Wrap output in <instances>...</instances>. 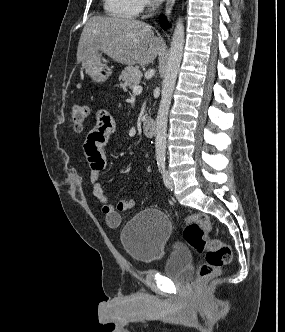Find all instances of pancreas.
<instances>
[{"instance_id":"obj_1","label":"pancreas","mask_w":285,"mask_h":332,"mask_svg":"<svg viewBox=\"0 0 285 332\" xmlns=\"http://www.w3.org/2000/svg\"><path fill=\"white\" fill-rule=\"evenodd\" d=\"M143 74L139 70L138 66H130L124 69L120 76V87L127 91V88H133L135 85H138L141 81Z\"/></svg>"}]
</instances>
